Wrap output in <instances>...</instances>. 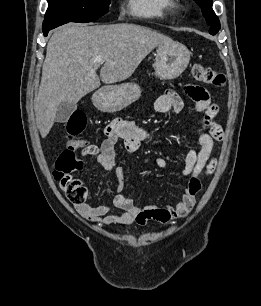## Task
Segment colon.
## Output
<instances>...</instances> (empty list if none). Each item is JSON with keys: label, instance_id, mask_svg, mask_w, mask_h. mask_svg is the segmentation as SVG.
Instances as JSON below:
<instances>
[{"label": "colon", "instance_id": "colon-1", "mask_svg": "<svg viewBox=\"0 0 261 306\" xmlns=\"http://www.w3.org/2000/svg\"><path fill=\"white\" fill-rule=\"evenodd\" d=\"M192 76L196 81L213 87H222L225 84L224 74L216 72L200 63L193 65ZM86 123V116L83 112L76 111L71 114L66 123L68 145L60 154L54 171V178L59 182L68 199L74 204H79L84 201L85 188L82 186L80 180L74 178L72 174L82 167V162L76 154V149L81 148L80 144L82 140L78 136L85 130ZM87 150L90 153H95L97 147L88 145Z\"/></svg>", "mask_w": 261, "mask_h": 306}]
</instances>
